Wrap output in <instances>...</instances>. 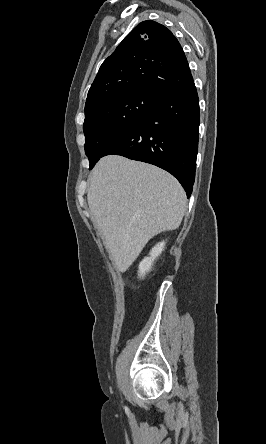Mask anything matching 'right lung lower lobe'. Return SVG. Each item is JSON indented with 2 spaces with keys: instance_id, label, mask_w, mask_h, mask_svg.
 Here are the masks:
<instances>
[{
  "instance_id": "1",
  "label": "right lung lower lobe",
  "mask_w": 266,
  "mask_h": 444,
  "mask_svg": "<svg viewBox=\"0 0 266 444\" xmlns=\"http://www.w3.org/2000/svg\"><path fill=\"white\" fill-rule=\"evenodd\" d=\"M199 99L192 81L159 99L135 127L112 141L102 156L116 154L156 165L175 176L189 198L194 184Z\"/></svg>"
}]
</instances>
